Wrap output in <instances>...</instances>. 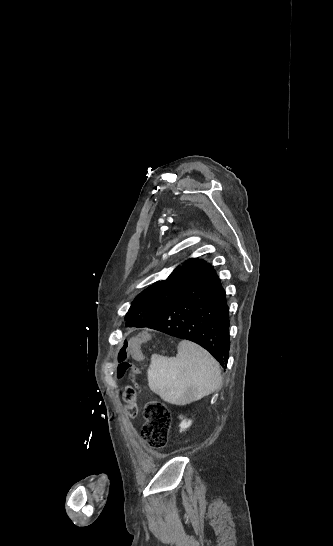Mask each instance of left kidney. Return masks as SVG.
Wrapping results in <instances>:
<instances>
[{"instance_id":"left-kidney-1","label":"left kidney","mask_w":333,"mask_h":546,"mask_svg":"<svg viewBox=\"0 0 333 546\" xmlns=\"http://www.w3.org/2000/svg\"><path fill=\"white\" fill-rule=\"evenodd\" d=\"M191 423H192L191 420H186V419L182 420L180 423V431L182 432L188 427H190Z\"/></svg>"}]
</instances>
